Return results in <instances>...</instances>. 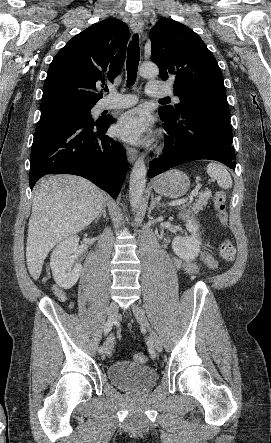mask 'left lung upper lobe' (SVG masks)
<instances>
[{
  "instance_id": "5c2ea615",
  "label": "left lung upper lobe",
  "mask_w": 271,
  "mask_h": 443,
  "mask_svg": "<svg viewBox=\"0 0 271 443\" xmlns=\"http://www.w3.org/2000/svg\"><path fill=\"white\" fill-rule=\"evenodd\" d=\"M151 60L166 81L174 78L173 92L180 103L160 107L172 117L193 112L208 101L228 106L223 76L213 54L189 27L169 18L151 29Z\"/></svg>"
}]
</instances>
